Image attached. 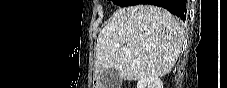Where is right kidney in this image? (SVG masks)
Returning <instances> with one entry per match:
<instances>
[{
	"instance_id": "obj_1",
	"label": "right kidney",
	"mask_w": 227,
	"mask_h": 88,
	"mask_svg": "<svg viewBox=\"0 0 227 88\" xmlns=\"http://www.w3.org/2000/svg\"><path fill=\"white\" fill-rule=\"evenodd\" d=\"M137 88H163V83L158 77H147L138 81Z\"/></svg>"
}]
</instances>
